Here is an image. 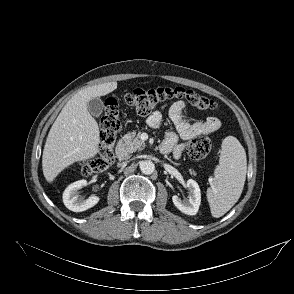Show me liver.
Returning a JSON list of instances; mask_svg holds the SVG:
<instances>
[{
  "label": "liver",
  "instance_id": "6515ba94",
  "mask_svg": "<svg viewBox=\"0 0 294 294\" xmlns=\"http://www.w3.org/2000/svg\"><path fill=\"white\" fill-rule=\"evenodd\" d=\"M117 82L88 87L75 94L53 123L43 150L42 169L47 182L75 162L90 159L99 152V127L87 109V102L107 95Z\"/></svg>",
  "mask_w": 294,
  "mask_h": 294
}]
</instances>
